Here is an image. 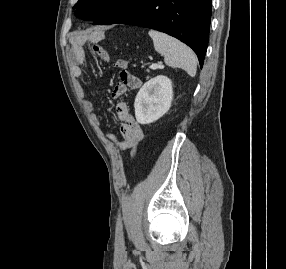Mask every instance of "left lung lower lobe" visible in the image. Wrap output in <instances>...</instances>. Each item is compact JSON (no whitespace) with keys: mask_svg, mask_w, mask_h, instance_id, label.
Here are the masks:
<instances>
[{"mask_svg":"<svg viewBox=\"0 0 286 269\" xmlns=\"http://www.w3.org/2000/svg\"><path fill=\"white\" fill-rule=\"evenodd\" d=\"M211 0H145L116 23L167 33L188 46L202 67L209 38Z\"/></svg>","mask_w":286,"mask_h":269,"instance_id":"1","label":"left lung lower lobe"}]
</instances>
